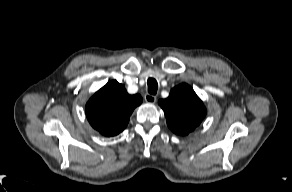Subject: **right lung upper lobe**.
<instances>
[{"instance_id": "cb5924a9", "label": "right lung upper lobe", "mask_w": 292, "mask_h": 192, "mask_svg": "<svg viewBox=\"0 0 292 192\" xmlns=\"http://www.w3.org/2000/svg\"><path fill=\"white\" fill-rule=\"evenodd\" d=\"M142 103L140 95H129L116 80L98 90L86 104V117L101 134L115 136L126 128L135 107Z\"/></svg>"}]
</instances>
